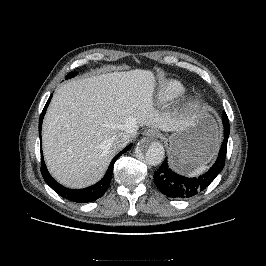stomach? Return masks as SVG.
Returning <instances> with one entry per match:
<instances>
[{"label":"stomach","instance_id":"obj_1","mask_svg":"<svg viewBox=\"0 0 266 266\" xmlns=\"http://www.w3.org/2000/svg\"><path fill=\"white\" fill-rule=\"evenodd\" d=\"M219 143L217 123L209 109L204 108L169 137L170 163L178 170L191 172L213 159Z\"/></svg>","mask_w":266,"mask_h":266}]
</instances>
